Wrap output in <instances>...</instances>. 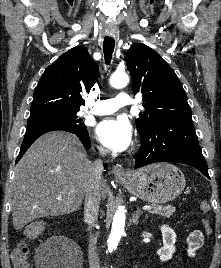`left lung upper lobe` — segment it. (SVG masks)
Returning <instances> with one entry per match:
<instances>
[{"mask_svg": "<svg viewBox=\"0 0 221 268\" xmlns=\"http://www.w3.org/2000/svg\"><path fill=\"white\" fill-rule=\"evenodd\" d=\"M126 65L132 77L133 93L142 94L146 110L136 119L140 136L146 135L162 119L192 120L180 80L156 51L136 43L127 51Z\"/></svg>", "mask_w": 221, "mask_h": 268, "instance_id": "1", "label": "left lung upper lobe"}]
</instances>
